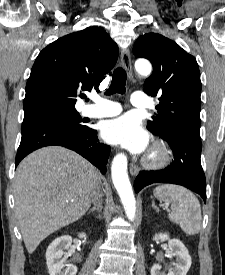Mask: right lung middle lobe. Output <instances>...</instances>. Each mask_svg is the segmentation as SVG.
Instances as JSON below:
<instances>
[{"label":"right lung middle lobe","mask_w":225,"mask_h":275,"mask_svg":"<svg viewBox=\"0 0 225 275\" xmlns=\"http://www.w3.org/2000/svg\"><path fill=\"white\" fill-rule=\"evenodd\" d=\"M31 119H49L62 123L66 126L75 129H85L87 126L82 124L81 117L76 110H57L49 111L40 114H35L31 116H25L23 121Z\"/></svg>","instance_id":"right-lung-middle-lobe-1"}]
</instances>
